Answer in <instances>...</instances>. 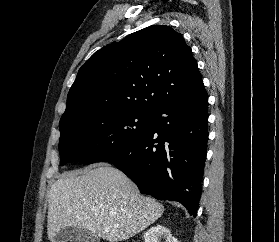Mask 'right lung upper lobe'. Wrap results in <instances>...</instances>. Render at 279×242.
<instances>
[{
  "instance_id": "cb5924a9",
  "label": "right lung upper lobe",
  "mask_w": 279,
  "mask_h": 242,
  "mask_svg": "<svg viewBox=\"0 0 279 242\" xmlns=\"http://www.w3.org/2000/svg\"><path fill=\"white\" fill-rule=\"evenodd\" d=\"M204 88L196 60L182 35L153 25L95 52L70 88L66 121L125 110L154 113Z\"/></svg>"
}]
</instances>
